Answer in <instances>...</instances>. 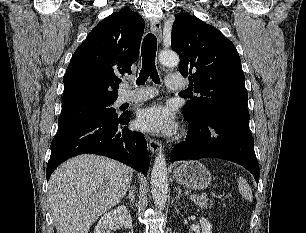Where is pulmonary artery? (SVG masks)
I'll return each mask as SVG.
<instances>
[{
  "instance_id": "e3ab8cb5",
  "label": "pulmonary artery",
  "mask_w": 306,
  "mask_h": 233,
  "mask_svg": "<svg viewBox=\"0 0 306 233\" xmlns=\"http://www.w3.org/2000/svg\"><path fill=\"white\" fill-rule=\"evenodd\" d=\"M125 85L129 86L130 83H126ZM166 85L172 91H182L186 87L185 81L176 75H169L166 79ZM157 93V90L153 87H145L134 91L124 90L119 94L116 103L121 105L124 103L144 101L154 97Z\"/></svg>"
}]
</instances>
